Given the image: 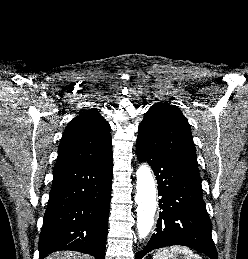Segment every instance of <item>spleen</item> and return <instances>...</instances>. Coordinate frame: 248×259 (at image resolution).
I'll return each instance as SVG.
<instances>
[{"label": "spleen", "instance_id": "1", "mask_svg": "<svg viewBox=\"0 0 248 259\" xmlns=\"http://www.w3.org/2000/svg\"><path fill=\"white\" fill-rule=\"evenodd\" d=\"M178 254H183L185 259H202L198 254H194L190 248L185 246H172L158 250L153 259H174Z\"/></svg>", "mask_w": 248, "mask_h": 259}]
</instances>
